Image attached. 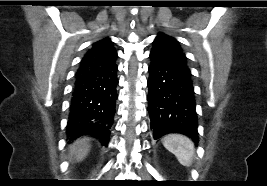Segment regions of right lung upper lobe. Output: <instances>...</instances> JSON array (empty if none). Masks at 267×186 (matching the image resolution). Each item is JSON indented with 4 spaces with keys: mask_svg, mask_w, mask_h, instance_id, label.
Wrapping results in <instances>:
<instances>
[{
    "mask_svg": "<svg viewBox=\"0 0 267 186\" xmlns=\"http://www.w3.org/2000/svg\"><path fill=\"white\" fill-rule=\"evenodd\" d=\"M116 58L117 52L113 48L112 41L109 38H104L95 42L87 51L81 60L77 72H85L90 69L105 66L114 62Z\"/></svg>",
    "mask_w": 267,
    "mask_h": 186,
    "instance_id": "cb5924a9",
    "label": "right lung upper lobe"
}]
</instances>
